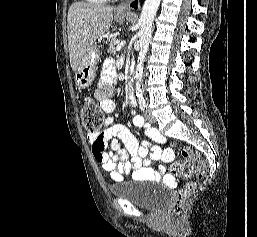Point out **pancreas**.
Returning <instances> with one entry per match:
<instances>
[{"label":"pancreas","instance_id":"pancreas-1","mask_svg":"<svg viewBox=\"0 0 257 237\" xmlns=\"http://www.w3.org/2000/svg\"><path fill=\"white\" fill-rule=\"evenodd\" d=\"M117 44H118V41L116 39H112V41L109 43V46L107 48V53L114 55L116 53Z\"/></svg>","mask_w":257,"mask_h":237}]
</instances>
